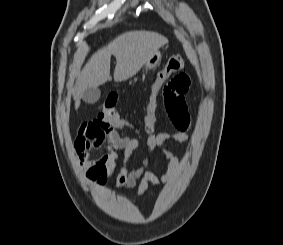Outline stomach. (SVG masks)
Here are the masks:
<instances>
[{
    "instance_id": "obj_1",
    "label": "stomach",
    "mask_w": 283,
    "mask_h": 245,
    "mask_svg": "<svg viewBox=\"0 0 283 245\" xmlns=\"http://www.w3.org/2000/svg\"><path fill=\"white\" fill-rule=\"evenodd\" d=\"M161 58H162V55L160 51H157L156 53H154L152 57H150L148 61L145 63L143 72H147L148 70L154 69L161 61Z\"/></svg>"
}]
</instances>
